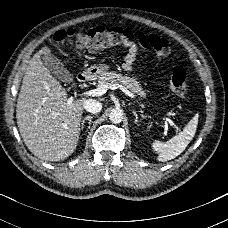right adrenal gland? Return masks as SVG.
<instances>
[{"label":"right adrenal gland","instance_id":"1","mask_svg":"<svg viewBox=\"0 0 228 228\" xmlns=\"http://www.w3.org/2000/svg\"><path fill=\"white\" fill-rule=\"evenodd\" d=\"M92 118H93L92 116H90V117L87 116L86 118H84V120H82V122L80 124L82 129H84L85 123L88 122V127L85 131V134L90 130V122L92 121Z\"/></svg>","mask_w":228,"mask_h":228}]
</instances>
